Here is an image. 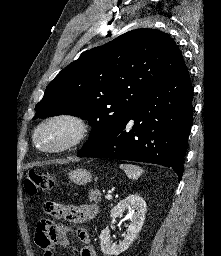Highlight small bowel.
I'll use <instances>...</instances> for the list:
<instances>
[{
	"label": "small bowel",
	"instance_id": "obj_1",
	"mask_svg": "<svg viewBox=\"0 0 221 256\" xmlns=\"http://www.w3.org/2000/svg\"><path fill=\"white\" fill-rule=\"evenodd\" d=\"M44 211L51 216L62 218L70 224H80L87 220L94 219L97 214V206L86 205H61L56 203H46ZM69 227L53 222L49 219L41 220L36 228L35 242L42 249L43 256H55L56 246L67 248L69 245L67 233ZM78 239L83 243L81 256H97L91 239L84 228L75 231Z\"/></svg>",
	"mask_w": 221,
	"mask_h": 256
}]
</instances>
